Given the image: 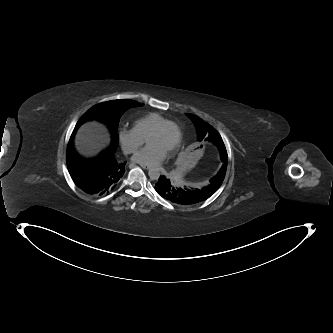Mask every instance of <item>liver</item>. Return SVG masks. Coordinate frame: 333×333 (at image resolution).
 Listing matches in <instances>:
<instances>
[{"label":"liver","instance_id":"liver-1","mask_svg":"<svg viewBox=\"0 0 333 333\" xmlns=\"http://www.w3.org/2000/svg\"><path fill=\"white\" fill-rule=\"evenodd\" d=\"M110 142L106 127L96 121L82 125L75 137L77 150L86 157L95 156Z\"/></svg>","mask_w":333,"mask_h":333}]
</instances>
